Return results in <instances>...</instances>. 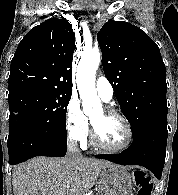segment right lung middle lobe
<instances>
[{
  "instance_id": "obj_1",
  "label": "right lung middle lobe",
  "mask_w": 178,
  "mask_h": 195,
  "mask_svg": "<svg viewBox=\"0 0 178 195\" xmlns=\"http://www.w3.org/2000/svg\"><path fill=\"white\" fill-rule=\"evenodd\" d=\"M72 93L28 90L8 96L9 127L58 124L66 127V107Z\"/></svg>"
}]
</instances>
